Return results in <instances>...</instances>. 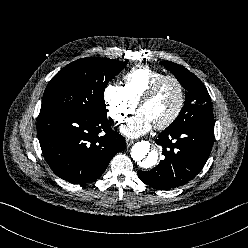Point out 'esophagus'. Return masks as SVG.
<instances>
[{"instance_id":"obj_1","label":"esophagus","mask_w":248,"mask_h":248,"mask_svg":"<svg viewBox=\"0 0 248 248\" xmlns=\"http://www.w3.org/2000/svg\"><path fill=\"white\" fill-rule=\"evenodd\" d=\"M134 140H132V139H126V145L129 147V146H131L132 144H134Z\"/></svg>"}]
</instances>
